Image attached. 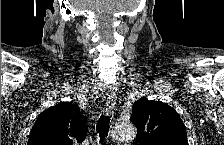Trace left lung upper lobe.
Segmentation results:
<instances>
[{"label":"left lung upper lobe","instance_id":"left-lung-upper-lobe-1","mask_svg":"<svg viewBox=\"0 0 224 145\" xmlns=\"http://www.w3.org/2000/svg\"><path fill=\"white\" fill-rule=\"evenodd\" d=\"M131 120L137 127L136 145H188L183 121L163 102L138 100L133 105Z\"/></svg>","mask_w":224,"mask_h":145}]
</instances>
